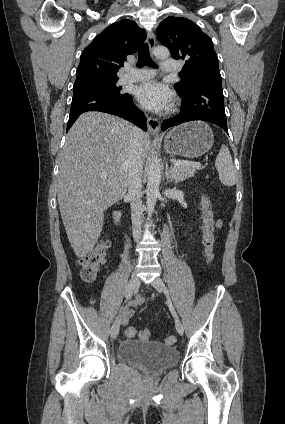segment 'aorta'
Returning <instances> with one entry per match:
<instances>
[{"instance_id": "obj_1", "label": "aorta", "mask_w": 285, "mask_h": 424, "mask_svg": "<svg viewBox=\"0 0 285 424\" xmlns=\"http://www.w3.org/2000/svg\"><path fill=\"white\" fill-rule=\"evenodd\" d=\"M153 54L158 59H166L170 53L168 48L158 46L153 50ZM161 183V164L158 156H153L148 167L147 188H146V212L151 217L154 212L156 199L159 194V186Z\"/></svg>"}]
</instances>
